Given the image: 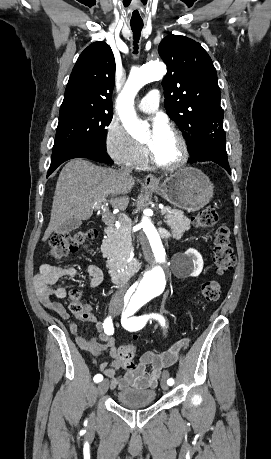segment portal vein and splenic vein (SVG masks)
Wrapping results in <instances>:
<instances>
[{
	"label": "portal vein and splenic vein",
	"instance_id": "obj_1",
	"mask_svg": "<svg viewBox=\"0 0 271 459\" xmlns=\"http://www.w3.org/2000/svg\"><path fill=\"white\" fill-rule=\"evenodd\" d=\"M165 219H169L172 215L171 214H165Z\"/></svg>",
	"mask_w": 271,
	"mask_h": 459
}]
</instances>
